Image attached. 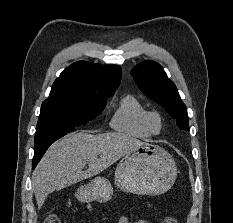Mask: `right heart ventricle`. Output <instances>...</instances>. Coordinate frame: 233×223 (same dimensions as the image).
Wrapping results in <instances>:
<instances>
[{
	"label": "right heart ventricle",
	"mask_w": 233,
	"mask_h": 223,
	"mask_svg": "<svg viewBox=\"0 0 233 223\" xmlns=\"http://www.w3.org/2000/svg\"><path fill=\"white\" fill-rule=\"evenodd\" d=\"M147 112L145 105L133 94H126L118 101L112 110L109 127L121 134L146 140L150 134L144 126V115Z\"/></svg>",
	"instance_id": "e07e8e85"
}]
</instances>
